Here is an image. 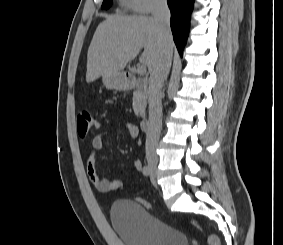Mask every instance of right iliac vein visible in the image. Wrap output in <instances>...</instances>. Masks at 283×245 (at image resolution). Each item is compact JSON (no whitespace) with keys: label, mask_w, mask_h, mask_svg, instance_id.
I'll return each instance as SVG.
<instances>
[{"label":"right iliac vein","mask_w":283,"mask_h":245,"mask_svg":"<svg viewBox=\"0 0 283 245\" xmlns=\"http://www.w3.org/2000/svg\"><path fill=\"white\" fill-rule=\"evenodd\" d=\"M148 167L150 168L151 174L156 176L157 172V160L154 157L149 156L147 158Z\"/></svg>","instance_id":"obj_1"}]
</instances>
